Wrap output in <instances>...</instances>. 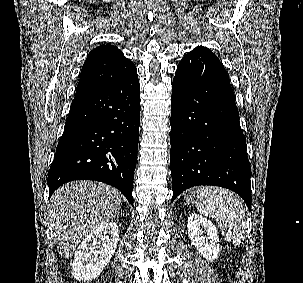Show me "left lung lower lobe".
Masks as SVG:
<instances>
[{
  "label": "left lung lower lobe",
  "instance_id": "1",
  "mask_svg": "<svg viewBox=\"0 0 303 283\" xmlns=\"http://www.w3.org/2000/svg\"><path fill=\"white\" fill-rule=\"evenodd\" d=\"M171 102L172 201L190 187L214 185L235 191L251 209V168L234 92L209 49L197 47L180 61Z\"/></svg>",
  "mask_w": 303,
  "mask_h": 283
}]
</instances>
